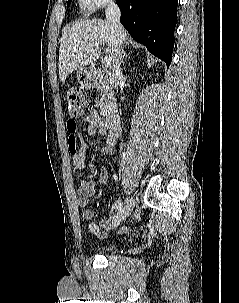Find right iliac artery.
<instances>
[{"label": "right iliac artery", "instance_id": "82829eb1", "mask_svg": "<svg viewBox=\"0 0 239 303\" xmlns=\"http://www.w3.org/2000/svg\"><path fill=\"white\" fill-rule=\"evenodd\" d=\"M123 207V202L119 201L118 205H117V210L120 211Z\"/></svg>", "mask_w": 239, "mask_h": 303}]
</instances>
